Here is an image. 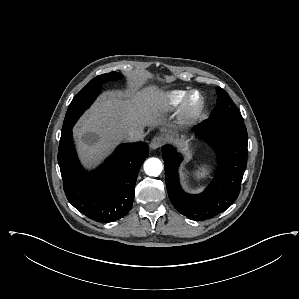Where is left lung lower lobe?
<instances>
[{"mask_svg": "<svg viewBox=\"0 0 299 299\" xmlns=\"http://www.w3.org/2000/svg\"><path fill=\"white\" fill-rule=\"evenodd\" d=\"M217 150L218 170L212 183L198 195L184 193L177 170L182 158L170 145L162 147L169 199L188 218L201 221L225 211L238 197L247 166L248 136L243 120L210 117L195 127Z\"/></svg>", "mask_w": 299, "mask_h": 299, "instance_id": "left-lung-lower-lobe-1", "label": "left lung lower lobe"}]
</instances>
